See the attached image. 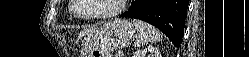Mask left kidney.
Returning a JSON list of instances; mask_svg holds the SVG:
<instances>
[{
  "label": "left kidney",
  "mask_w": 249,
  "mask_h": 57,
  "mask_svg": "<svg viewBox=\"0 0 249 57\" xmlns=\"http://www.w3.org/2000/svg\"><path fill=\"white\" fill-rule=\"evenodd\" d=\"M132 57H161V53L155 47H147L136 51Z\"/></svg>",
  "instance_id": "5707ae66"
}]
</instances>
